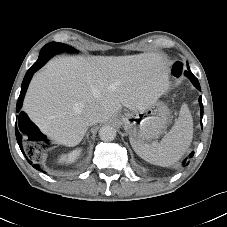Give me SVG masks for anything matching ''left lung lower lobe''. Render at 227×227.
<instances>
[{"mask_svg": "<svg viewBox=\"0 0 227 227\" xmlns=\"http://www.w3.org/2000/svg\"><path fill=\"white\" fill-rule=\"evenodd\" d=\"M197 89H199V90H201L200 89V85L199 84H196V85H194ZM199 104H200V114H201V124H202V116H203V104H202V98H201V96L199 97ZM193 154H194V152H192L191 154H190V157H192L193 156ZM184 163H185V161H184ZM188 164V163H187Z\"/></svg>", "mask_w": 227, "mask_h": 227, "instance_id": "obj_1", "label": "left lung lower lobe"}]
</instances>
